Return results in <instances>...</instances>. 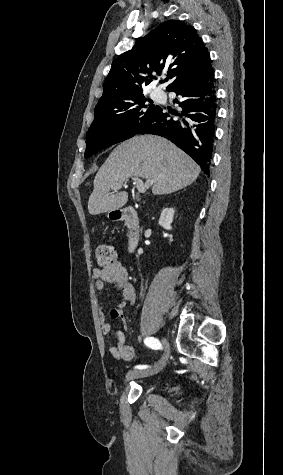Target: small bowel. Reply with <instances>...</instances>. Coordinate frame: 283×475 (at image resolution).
<instances>
[{"label": "small bowel", "instance_id": "obj_1", "mask_svg": "<svg viewBox=\"0 0 283 475\" xmlns=\"http://www.w3.org/2000/svg\"><path fill=\"white\" fill-rule=\"evenodd\" d=\"M92 277L95 280L98 290L104 289L106 285H111L116 292L120 294L117 308L111 311L112 318L107 320L104 305L98 307V320L102 334L107 335L112 332V326L123 325L122 309L128 304L135 303V291L131 284L127 270L119 263L94 267ZM115 344L109 348L112 357L118 361L131 360L134 357L132 348L127 345L125 334L117 329L114 330Z\"/></svg>", "mask_w": 283, "mask_h": 475}]
</instances>
